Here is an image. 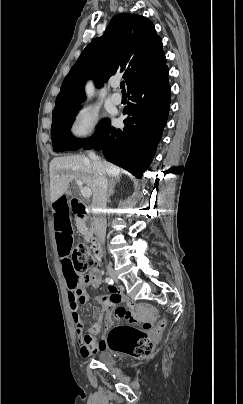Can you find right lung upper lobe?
<instances>
[{"mask_svg":"<svg viewBox=\"0 0 243 404\" xmlns=\"http://www.w3.org/2000/svg\"><path fill=\"white\" fill-rule=\"evenodd\" d=\"M162 40L153 23L140 15H115L104 34L92 40L65 77L56 98L53 115L79 106L85 99L84 84L92 78L102 86L123 72L129 88L165 65Z\"/></svg>","mask_w":243,"mask_h":404,"instance_id":"obj_1","label":"right lung upper lobe"}]
</instances>
